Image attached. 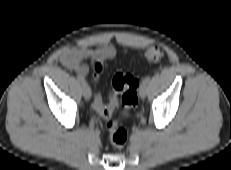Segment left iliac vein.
<instances>
[{
  "label": "left iliac vein",
  "instance_id": "obj_1",
  "mask_svg": "<svg viewBox=\"0 0 231 170\" xmlns=\"http://www.w3.org/2000/svg\"><path fill=\"white\" fill-rule=\"evenodd\" d=\"M139 95L142 99H144L147 95V83L142 82L139 87Z\"/></svg>",
  "mask_w": 231,
  "mask_h": 170
}]
</instances>
